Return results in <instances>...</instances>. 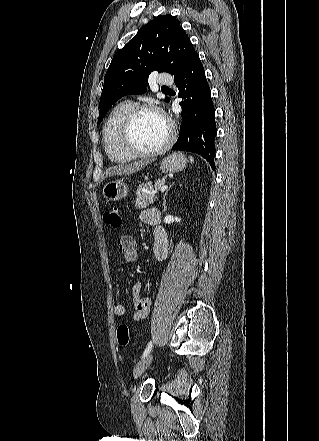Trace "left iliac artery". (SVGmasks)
<instances>
[{"mask_svg":"<svg viewBox=\"0 0 319 441\" xmlns=\"http://www.w3.org/2000/svg\"><path fill=\"white\" fill-rule=\"evenodd\" d=\"M152 346H153L152 341H150V342L148 343L146 349H145L144 352H143L142 358H144V357H146L147 355H149V353H150L151 350H152Z\"/></svg>","mask_w":319,"mask_h":441,"instance_id":"1","label":"left iliac artery"}]
</instances>
